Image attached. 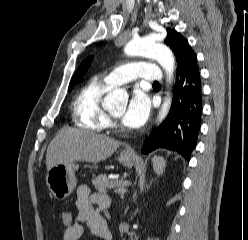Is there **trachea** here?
<instances>
[{
	"label": "trachea",
	"instance_id": "trachea-1",
	"mask_svg": "<svg viewBox=\"0 0 248 240\" xmlns=\"http://www.w3.org/2000/svg\"><path fill=\"white\" fill-rule=\"evenodd\" d=\"M153 84H159L158 82H154Z\"/></svg>",
	"mask_w": 248,
	"mask_h": 240
}]
</instances>
